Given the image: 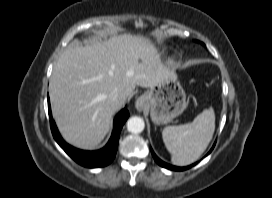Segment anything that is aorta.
Segmentation results:
<instances>
[{"instance_id":"1","label":"aorta","mask_w":272,"mask_h":198,"mask_svg":"<svg viewBox=\"0 0 272 198\" xmlns=\"http://www.w3.org/2000/svg\"><path fill=\"white\" fill-rule=\"evenodd\" d=\"M144 127V120L140 117L134 116L127 121V129L131 133H141L144 130Z\"/></svg>"}]
</instances>
